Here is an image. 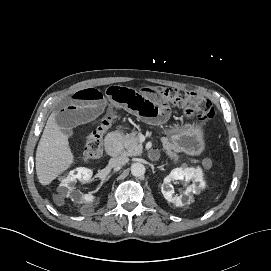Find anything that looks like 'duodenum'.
<instances>
[{
    "mask_svg": "<svg viewBox=\"0 0 271 271\" xmlns=\"http://www.w3.org/2000/svg\"><path fill=\"white\" fill-rule=\"evenodd\" d=\"M105 148L111 157H117L121 151V135L119 132H111L105 138Z\"/></svg>",
    "mask_w": 271,
    "mask_h": 271,
    "instance_id": "410a0bca",
    "label": "duodenum"
}]
</instances>
